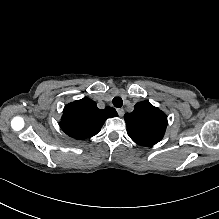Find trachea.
I'll return each mask as SVG.
<instances>
[{
  "mask_svg": "<svg viewBox=\"0 0 219 219\" xmlns=\"http://www.w3.org/2000/svg\"><path fill=\"white\" fill-rule=\"evenodd\" d=\"M112 103L115 107L117 108H121L122 105H123V101L120 97H115L113 100H112Z\"/></svg>",
  "mask_w": 219,
  "mask_h": 219,
  "instance_id": "1",
  "label": "trachea"
}]
</instances>
